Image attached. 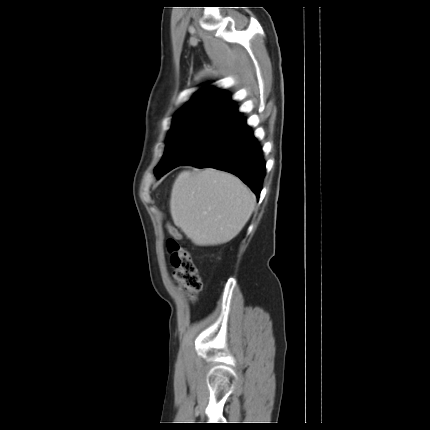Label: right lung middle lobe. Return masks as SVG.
Instances as JSON below:
<instances>
[{
    "label": "right lung middle lobe",
    "mask_w": 430,
    "mask_h": 430,
    "mask_svg": "<svg viewBox=\"0 0 430 430\" xmlns=\"http://www.w3.org/2000/svg\"><path fill=\"white\" fill-rule=\"evenodd\" d=\"M231 107L207 105L179 110L168 133L166 149L155 176L183 164L234 128L240 121Z\"/></svg>",
    "instance_id": "dd1d6c3e"
}]
</instances>
